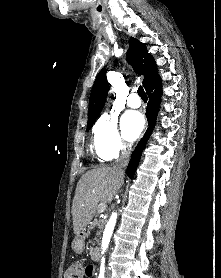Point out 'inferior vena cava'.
Listing matches in <instances>:
<instances>
[{
	"instance_id": "inferior-vena-cava-1",
	"label": "inferior vena cava",
	"mask_w": 221,
	"mask_h": 278,
	"mask_svg": "<svg viewBox=\"0 0 221 278\" xmlns=\"http://www.w3.org/2000/svg\"><path fill=\"white\" fill-rule=\"evenodd\" d=\"M129 156H130V150L124 149L121 153V156L117 162V164L114 166V169L121 175L124 176V169L127 166L129 162Z\"/></svg>"
}]
</instances>
